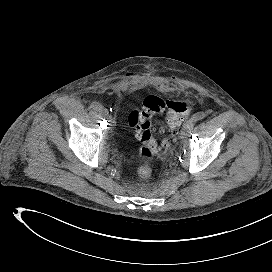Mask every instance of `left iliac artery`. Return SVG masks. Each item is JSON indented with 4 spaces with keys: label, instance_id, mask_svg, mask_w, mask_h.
I'll use <instances>...</instances> for the list:
<instances>
[{
    "label": "left iliac artery",
    "instance_id": "1",
    "mask_svg": "<svg viewBox=\"0 0 272 272\" xmlns=\"http://www.w3.org/2000/svg\"><path fill=\"white\" fill-rule=\"evenodd\" d=\"M204 117H205L204 113H197L193 115V117L191 118V121L196 122L198 120H202ZM188 124H190V122H188Z\"/></svg>",
    "mask_w": 272,
    "mask_h": 272
}]
</instances>
